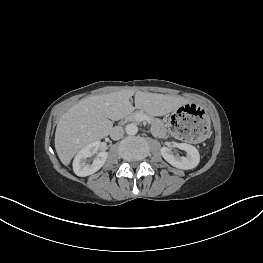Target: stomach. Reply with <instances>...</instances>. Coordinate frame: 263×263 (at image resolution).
I'll use <instances>...</instances> for the list:
<instances>
[{
	"label": "stomach",
	"mask_w": 263,
	"mask_h": 263,
	"mask_svg": "<svg viewBox=\"0 0 263 263\" xmlns=\"http://www.w3.org/2000/svg\"><path fill=\"white\" fill-rule=\"evenodd\" d=\"M172 133L182 142L197 145L204 142L211 131L207 113L196 104H185L170 118Z\"/></svg>",
	"instance_id": "stomach-1"
}]
</instances>
